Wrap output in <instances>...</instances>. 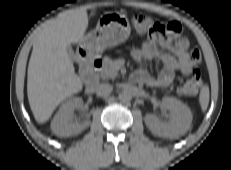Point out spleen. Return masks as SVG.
Masks as SVG:
<instances>
[{"label":"spleen","instance_id":"obj_1","mask_svg":"<svg viewBox=\"0 0 231 170\" xmlns=\"http://www.w3.org/2000/svg\"><path fill=\"white\" fill-rule=\"evenodd\" d=\"M199 103L202 111L205 112L209 104V87L207 85L203 86L200 91Z\"/></svg>","mask_w":231,"mask_h":170}]
</instances>
